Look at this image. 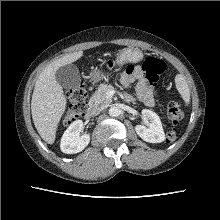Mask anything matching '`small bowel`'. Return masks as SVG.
I'll use <instances>...</instances> for the list:
<instances>
[{
    "mask_svg": "<svg viewBox=\"0 0 220 220\" xmlns=\"http://www.w3.org/2000/svg\"><path fill=\"white\" fill-rule=\"evenodd\" d=\"M120 81L124 86H129L134 81H137L136 97L147 106H152L154 104L153 90L139 67H128L121 75ZM124 99L126 101H133L134 96L130 93H125Z\"/></svg>",
    "mask_w": 220,
    "mask_h": 220,
    "instance_id": "small-bowel-1",
    "label": "small bowel"
}]
</instances>
